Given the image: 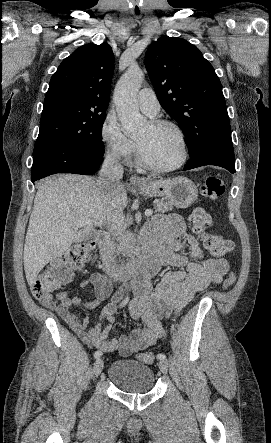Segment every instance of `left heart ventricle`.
Segmentation results:
<instances>
[{
    "instance_id": "obj_1",
    "label": "left heart ventricle",
    "mask_w": 271,
    "mask_h": 443,
    "mask_svg": "<svg viewBox=\"0 0 271 443\" xmlns=\"http://www.w3.org/2000/svg\"><path fill=\"white\" fill-rule=\"evenodd\" d=\"M135 141L146 157L159 166H169L182 156V143L178 133L171 127H152L146 123L138 132Z\"/></svg>"
}]
</instances>
